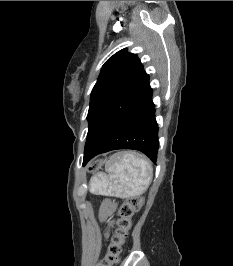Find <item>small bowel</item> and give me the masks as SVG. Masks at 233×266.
I'll return each instance as SVG.
<instances>
[{
	"instance_id": "c3829d8e",
	"label": "small bowel",
	"mask_w": 233,
	"mask_h": 266,
	"mask_svg": "<svg viewBox=\"0 0 233 266\" xmlns=\"http://www.w3.org/2000/svg\"><path fill=\"white\" fill-rule=\"evenodd\" d=\"M113 210L114 205L109 202H105L101 207L100 216L103 221H106L108 229L112 226L111 214Z\"/></svg>"
}]
</instances>
